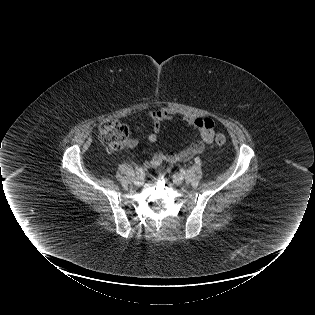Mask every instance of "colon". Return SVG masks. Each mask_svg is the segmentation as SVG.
<instances>
[{
	"mask_svg": "<svg viewBox=\"0 0 315 315\" xmlns=\"http://www.w3.org/2000/svg\"><path fill=\"white\" fill-rule=\"evenodd\" d=\"M100 137L102 142L112 151L122 150L129 140L128 128L119 121H109L100 125ZM214 142L218 146H223L227 142L224 134L218 133Z\"/></svg>",
	"mask_w": 315,
	"mask_h": 315,
	"instance_id": "5ec220e1",
	"label": "colon"
}]
</instances>
